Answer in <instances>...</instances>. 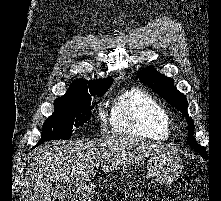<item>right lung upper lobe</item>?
I'll list each match as a JSON object with an SVG mask.
<instances>
[{"label":"right lung upper lobe","instance_id":"right-lung-upper-lobe-1","mask_svg":"<svg viewBox=\"0 0 221 201\" xmlns=\"http://www.w3.org/2000/svg\"><path fill=\"white\" fill-rule=\"evenodd\" d=\"M83 79H77L70 85L66 94L63 97L79 98L95 94L100 91H107L113 82L112 77L104 80H91L88 82Z\"/></svg>","mask_w":221,"mask_h":201}]
</instances>
